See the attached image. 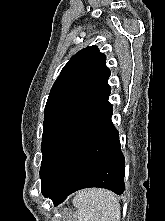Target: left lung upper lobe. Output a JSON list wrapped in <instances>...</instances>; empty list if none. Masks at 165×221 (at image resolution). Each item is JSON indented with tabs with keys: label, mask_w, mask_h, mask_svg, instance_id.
<instances>
[{
	"label": "left lung upper lobe",
	"mask_w": 165,
	"mask_h": 221,
	"mask_svg": "<svg viewBox=\"0 0 165 221\" xmlns=\"http://www.w3.org/2000/svg\"><path fill=\"white\" fill-rule=\"evenodd\" d=\"M109 77L106 56L97 46L80 50L64 66L45 107L40 172L63 135L109 93Z\"/></svg>",
	"instance_id": "5c2ea615"
}]
</instances>
